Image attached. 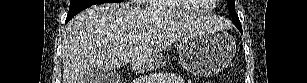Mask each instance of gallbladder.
I'll use <instances>...</instances> for the list:
<instances>
[{
	"mask_svg": "<svg viewBox=\"0 0 307 83\" xmlns=\"http://www.w3.org/2000/svg\"><path fill=\"white\" fill-rule=\"evenodd\" d=\"M84 83H118L119 74L115 70L93 68L86 72Z\"/></svg>",
	"mask_w": 307,
	"mask_h": 83,
	"instance_id": "gallbladder-1",
	"label": "gallbladder"
}]
</instances>
